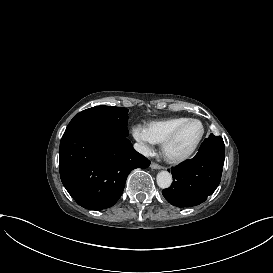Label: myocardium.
<instances>
[{"instance_id": "f54148a6", "label": "myocardium", "mask_w": 273, "mask_h": 273, "mask_svg": "<svg viewBox=\"0 0 273 273\" xmlns=\"http://www.w3.org/2000/svg\"><path fill=\"white\" fill-rule=\"evenodd\" d=\"M192 121H199L203 125V132L200 136V138L197 140V142L194 144V146L185 154L176 155L172 154L170 149L175 140L177 139L178 135L180 134L183 127L192 122ZM208 127L204 120L197 118V117H190L187 120L181 122L179 125H177L172 132L165 138V140L162 142V152L166 160L170 163L174 164H181L184 162L189 161L193 158L197 150L199 149L200 145L202 144L203 140L205 139V136L207 134Z\"/></svg>"}]
</instances>
